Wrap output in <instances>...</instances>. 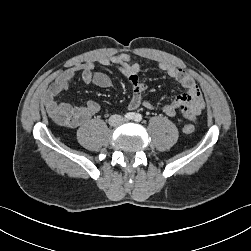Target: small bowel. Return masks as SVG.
<instances>
[{
  "label": "small bowel",
  "instance_id": "obj_1",
  "mask_svg": "<svg viewBox=\"0 0 251 251\" xmlns=\"http://www.w3.org/2000/svg\"><path fill=\"white\" fill-rule=\"evenodd\" d=\"M97 63L104 67H115L128 78L132 87L128 102L130 110H135L142 104L148 109L154 107L150 100L143 102V93L147 85L139 77L141 71L139 61L132 59L126 53H120L101 57ZM158 68L185 89V92L177 95L172 102L163 105L162 112L169 117L180 114L188 120L196 121L205 107V102L195 80L186 71L167 62L158 63ZM77 73L85 83H91L100 88H109L112 85V80L107 74L95 71L94 62H85L70 68L53 80L43 96V104L54 121L60 124L65 123L72 128L84 124L100 110L99 104L95 101H88L82 106H73L57 100L58 95L69 88Z\"/></svg>",
  "mask_w": 251,
  "mask_h": 251
}]
</instances>
